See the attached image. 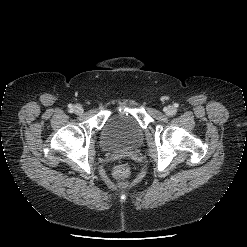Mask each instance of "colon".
Listing matches in <instances>:
<instances>
[{"label": "colon", "instance_id": "1", "mask_svg": "<svg viewBox=\"0 0 247 247\" xmlns=\"http://www.w3.org/2000/svg\"><path fill=\"white\" fill-rule=\"evenodd\" d=\"M130 173V167L127 163H119L113 171V175L117 180H125Z\"/></svg>", "mask_w": 247, "mask_h": 247}]
</instances>
